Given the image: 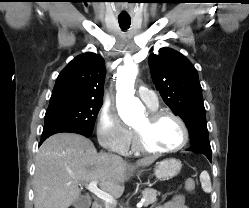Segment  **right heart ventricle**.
Instances as JSON below:
<instances>
[{"label":"right heart ventricle","mask_w":249,"mask_h":208,"mask_svg":"<svg viewBox=\"0 0 249 208\" xmlns=\"http://www.w3.org/2000/svg\"><path fill=\"white\" fill-rule=\"evenodd\" d=\"M150 109L151 110H156V108H150ZM132 147H133V149H136L134 143H133Z\"/></svg>","instance_id":"right-heart-ventricle-1"}]
</instances>
